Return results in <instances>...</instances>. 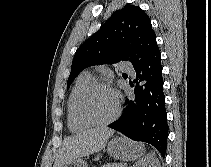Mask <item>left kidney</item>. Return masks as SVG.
Returning a JSON list of instances; mask_svg holds the SVG:
<instances>
[{
	"label": "left kidney",
	"mask_w": 211,
	"mask_h": 167,
	"mask_svg": "<svg viewBox=\"0 0 211 167\" xmlns=\"http://www.w3.org/2000/svg\"><path fill=\"white\" fill-rule=\"evenodd\" d=\"M133 167H160V163L154 153L147 154Z\"/></svg>",
	"instance_id": "1"
}]
</instances>
